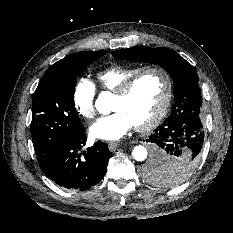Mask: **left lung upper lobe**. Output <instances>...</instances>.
Wrapping results in <instances>:
<instances>
[{
	"instance_id": "1",
	"label": "left lung upper lobe",
	"mask_w": 233,
	"mask_h": 233,
	"mask_svg": "<svg viewBox=\"0 0 233 233\" xmlns=\"http://www.w3.org/2000/svg\"><path fill=\"white\" fill-rule=\"evenodd\" d=\"M112 55L124 60L148 62L163 67L174 82L175 104L165 121L182 115L200 119L202 98L195 68L175 51L159 47H134L116 50ZM200 158L184 156L169 159L164 164L147 167L144 176L149 181H165L176 185L186 181L195 171Z\"/></svg>"
}]
</instances>
